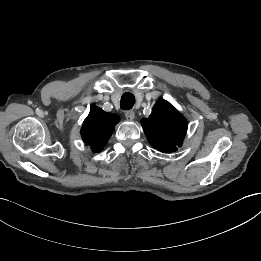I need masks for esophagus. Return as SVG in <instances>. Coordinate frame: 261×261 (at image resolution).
I'll return each instance as SVG.
<instances>
[{
    "label": "esophagus",
    "instance_id": "obj_1",
    "mask_svg": "<svg viewBox=\"0 0 261 261\" xmlns=\"http://www.w3.org/2000/svg\"><path fill=\"white\" fill-rule=\"evenodd\" d=\"M125 117L127 120H133L135 118V113L132 110L125 111Z\"/></svg>",
    "mask_w": 261,
    "mask_h": 261
}]
</instances>
